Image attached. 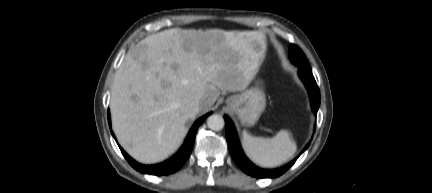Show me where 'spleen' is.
Wrapping results in <instances>:
<instances>
[{"label":"spleen","mask_w":432,"mask_h":193,"mask_svg":"<svg viewBox=\"0 0 432 193\" xmlns=\"http://www.w3.org/2000/svg\"><path fill=\"white\" fill-rule=\"evenodd\" d=\"M242 145L249 159L264 168L286 163L297 150L296 142L286 130L279 131L272 138L254 137L244 131Z\"/></svg>","instance_id":"3e777b00"}]
</instances>
